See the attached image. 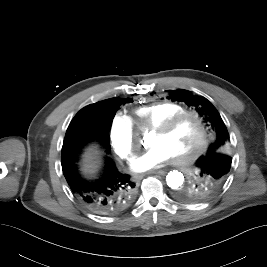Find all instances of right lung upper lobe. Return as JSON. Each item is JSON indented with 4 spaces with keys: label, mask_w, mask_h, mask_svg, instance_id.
<instances>
[{
    "label": "right lung upper lobe",
    "mask_w": 267,
    "mask_h": 267,
    "mask_svg": "<svg viewBox=\"0 0 267 267\" xmlns=\"http://www.w3.org/2000/svg\"><path fill=\"white\" fill-rule=\"evenodd\" d=\"M114 100L127 102L129 99H126V100L119 99V98L107 99V100H104V101H101V102H98V103H95V104H91V105H88V106L84 107L83 109H81L77 113V115L83 113L86 110H90V109H97V110L101 111V109H102L104 104H106L107 102H110V101H114Z\"/></svg>",
    "instance_id": "obj_1"
}]
</instances>
